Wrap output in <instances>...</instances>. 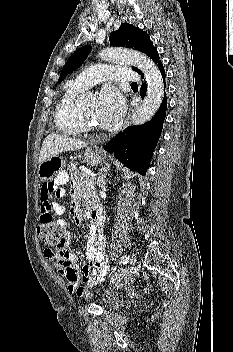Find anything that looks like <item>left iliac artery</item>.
Segmentation results:
<instances>
[{
    "instance_id": "44dca946",
    "label": "left iliac artery",
    "mask_w": 233,
    "mask_h": 352,
    "mask_svg": "<svg viewBox=\"0 0 233 352\" xmlns=\"http://www.w3.org/2000/svg\"><path fill=\"white\" fill-rule=\"evenodd\" d=\"M128 260H129V257H128L127 255H123V256L121 257V262H122L123 264H127V263H128Z\"/></svg>"
}]
</instances>
